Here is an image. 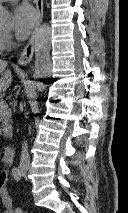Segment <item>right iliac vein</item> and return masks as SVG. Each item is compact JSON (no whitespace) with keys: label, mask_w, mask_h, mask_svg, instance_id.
<instances>
[{"label":"right iliac vein","mask_w":128,"mask_h":213,"mask_svg":"<svg viewBox=\"0 0 128 213\" xmlns=\"http://www.w3.org/2000/svg\"><path fill=\"white\" fill-rule=\"evenodd\" d=\"M21 171L26 172V171H27V168H22Z\"/></svg>","instance_id":"63e3f726"}]
</instances>
